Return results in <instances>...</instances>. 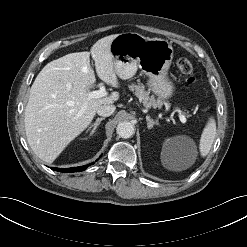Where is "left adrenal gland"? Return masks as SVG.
<instances>
[{
	"instance_id": "left-adrenal-gland-1",
	"label": "left adrenal gland",
	"mask_w": 247,
	"mask_h": 247,
	"mask_svg": "<svg viewBox=\"0 0 247 247\" xmlns=\"http://www.w3.org/2000/svg\"><path fill=\"white\" fill-rule=\"evenodd\" d=\"M146 120L148 122L147 123L148 129H152L154 125H157V122L151 119L150 116H146Z\"/></svg>"
}]
</instances>
